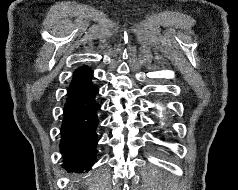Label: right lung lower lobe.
Segmentation results:
<instances>
[{"label": "right lung lower lobe", "instance_id": "obj_1", "mask_svg": "<svg viewBox=\"0 0 238 190\" xmlns=\"http://www.w3.org/2000/svg\"><path fill=\"white\" fill-rule=\"evenodd\" d=\"M92 78L93 71L88 66L79 67L67 90L60 150L64 156L62 166L69 171L88 170L96 161L100 105L96 100L99 89Z\"/></svg>", "mask_w": 238, "mask_h": 190}]
</instances>
